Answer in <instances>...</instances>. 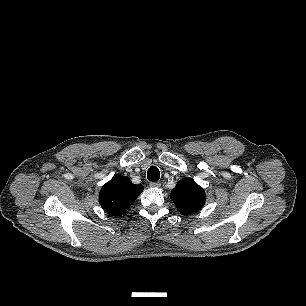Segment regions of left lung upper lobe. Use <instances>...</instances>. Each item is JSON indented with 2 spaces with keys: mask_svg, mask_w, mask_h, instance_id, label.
Segmentation results:
<instances>
[{
  "mask_svg": "<svg viewBox=\"0 0 306 306\" xmlns=\"http://www.w3.org/2000/svg\"><path fill=\"white\" fill-rule=\"evenodd\" d=\"M179 212L188 215L201 209L205 203V193L194 180L185 179L177 183L170 194Z\"/></svg>",
  "mask_w": 306,
  "mask_h": 306,
  "instance_id": "obj_1",
  "label": "left lung upper lobe"
}]
</instances>
